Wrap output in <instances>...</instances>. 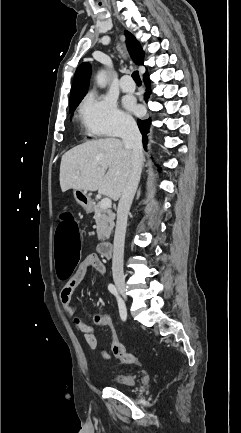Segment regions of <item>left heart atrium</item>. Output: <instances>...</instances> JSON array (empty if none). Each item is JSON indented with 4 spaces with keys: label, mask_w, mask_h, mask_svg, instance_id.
<instances>
[{
    "label": "left heart atrium",
    "mask_w": 241,
    "mask_h": 433,
    "mask_svg": "<svg viewBox=\"0 0 241 433\" xmlns=\"http://www.w3.org/2000/svg\"><path fill=\"white\" fill-rule=\"evenodd\" d=\"M124 104H125V107H126L127 109H130V110H135V109H136L134 103H133L129 98H126V99L124 100Z\"/></svg>",
    "instance_id": "obj_1"
}]
</instances>
